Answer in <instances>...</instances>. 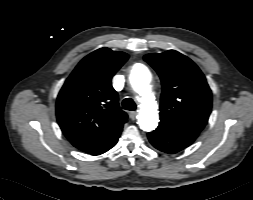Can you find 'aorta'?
<instances>
[{
    "label": "aorta",
    "mask_w": 253,
    "mask_h": 200,
    "mask_svg": "<svg viewBox=\"0 0 253 200\" xmlns=\"http://www.w3.org/2000/svg\"><path fill=\"white\" fill-rule=\"evenodd\" d=\"M130 82L141 97L138 125L146 132L153 131L158 125L159 113L154 96L151 94V73L144 65L137 64L131 71Z\"/></svg>",
    "instance_id": "aorta-1"
}]
</instances>
